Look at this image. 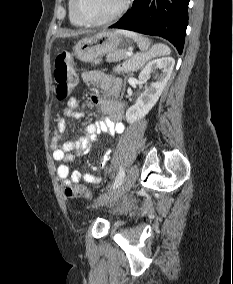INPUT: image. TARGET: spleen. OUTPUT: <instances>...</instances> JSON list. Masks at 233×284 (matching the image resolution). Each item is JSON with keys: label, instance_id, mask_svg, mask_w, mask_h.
<instances>
[{"label": "spleen", "instance_id": "3e777b00", "mask_svg": "<svg viewBox=\"0 0 233 284\" xmlns=\"http://www.w3.org/2000/svg\"><path fill=\"white\" fill-rule=\"evenodd\" d=\"M120 33L124 34L126 37L133 39L137 43L139 49L142 51V55H140V57L143 59V61H146L152 57L166 55L171 52L170 48L162 43L155 44L150 48V40L135 32L120 31Z\"/></svg>", "mask_w": 233, "mask_h": 284}]
</instances>
